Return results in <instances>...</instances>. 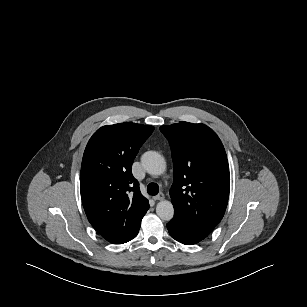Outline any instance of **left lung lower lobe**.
<instances>
[{
	"instance_id": "1",
	"label": "left lung lower lobe",
	"mask_w": 307,
	"mask_h": 307,
	"mask_svg": "<svg viewBox=\"0 0 307 307\" xmlns=\"http://www.w3.org/2000/svg\"><path fill=\"white\" fill-rule=\"evenodd\" d=\"M167 228L172 238L185 245L196 244L206 237L190 229L175 217L167 224Z\"/></svg>"
}]
</instances>
